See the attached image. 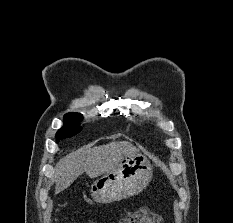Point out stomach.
Returning a JSON list of instances; mask_svg holds the SVG:
<instances>
[{"mask_svg":"<svg viewBox=\"0 0 233 223\" xmlns=\"http://www.w3.org/2000/svg\"><path fill=\"white\" fill-rule=\"evenodd\" d=\"M152 175L153 165L137 149L124 155L112 169L95 179L90 185V195L96 203H112L134 197L146 189Z\"/></svg>","mask_w":233,"mask_h":223,"instance_id":"1","label":"stomach"}]
</instances>
